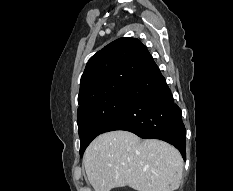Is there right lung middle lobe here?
Returning a JSON list of instances; mask_svg holds the SVG:
<instances>
[{
    "label": "right lung middle lobe",
    "mask_w": 233,
    "mask_h": 191,
    "mask_svg": "<svg viewBox=\"0 0 233 191\" xmlns=\"http://www.w3.org/2000/svg\"><path fill=\"white\" fill-rule=\"evenodd\" d=\"M128 100V91L116 93L77 111L81 156L90 142L125 108Z\"/></svg>",
    "instance_id": "dd1d6c3e"
}]
</instances>
